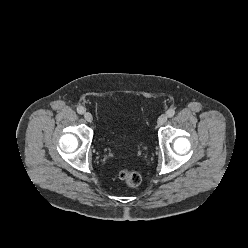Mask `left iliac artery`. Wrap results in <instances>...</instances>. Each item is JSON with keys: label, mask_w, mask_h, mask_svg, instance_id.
<instances>
[{"label": "left iliac artery", "mask_w": 248, "mask_h": 248, "mask_svg": "<svg viewBox=\"0 0 248 248\" xmlns=\"http://www.w3.org/2000/svg\"><path fill=\"white\" fill-rule=\"evenodd\" d=\"M168 117H173L175 115V110L173 108H170L167 112H166Z\"/></svg>", "instance_id": "obj_1"}]
</instances>
